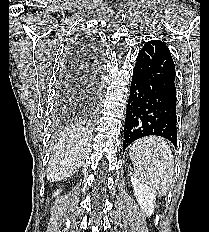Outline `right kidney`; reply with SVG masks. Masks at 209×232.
<instances>
[{
	"mask_svg": "<svg viewBox=\"0 0 209 232\" xmlns=\"http://www.w3.org/2000/svg\"><path fill=\"white\" fill-rule=\"evenodd\" d=\"M60 192H61V190H57V191L54 193V196H58Z\"/></svg>",
	"mask_w": 209,
	"mask_h": 232,
	"instance_id": "right-kidney-1",
	"label": "right kidney"
}]
</instances>
